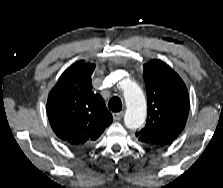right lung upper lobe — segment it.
<instances>
[{"label": "right lung upper lobe", "instance_id": "1", "mask_svg": "<svg viewBox=\"0 0 223 188\" xmlns=\"http://www.w3.org/2000/svg\"><path fill=\"white\" fill-rule=\"evenodd\" d=\"M94 69V64L76 62L64 71L47 100L54 133L75 148L91 145L113 120L103 98L91 90Z\"/></svg>", "mask_w": 223, "mask_h": 188}]
</instances>
